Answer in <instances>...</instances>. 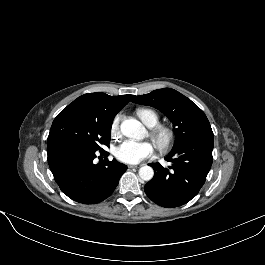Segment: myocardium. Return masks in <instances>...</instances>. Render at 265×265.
Instances as JSON below:
<instances>
[{
    "instance_id": "obj_1",
    "label": "myocardium",
    "mask_w": 265,
    "mask_h": 265,
    "mask_svg": "<svg viewBox=\"0 0 265 265\" xmlns=\"http://www.w3.org/2000/svg\"><path fill=\"white\" fill-rule=\"evenodd\" d=\"M150 138L160 151H164L174 139V130L170 126L157 125L151 129Z\"/></svg>"
}]
</instances>
